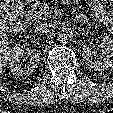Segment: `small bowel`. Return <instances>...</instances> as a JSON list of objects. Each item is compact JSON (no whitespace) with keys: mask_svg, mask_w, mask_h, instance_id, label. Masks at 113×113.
<instances>
[{"mask_svg":"<svg viewBox=\"0 0 113 113\" xmlns=\"http://www.w3.org/2000/svg\"><path fill=\"white\" fill-rule=\"evenodd\" d=\"M89 1L94 9V14L97 19H99L101 22L106 24L107 26L110 27L111 31L113 32V18L112 15L106 13L104 9L101 6V0H85ZM111 2V7H113V0H108ZM85 19V15H81Z\"/></svg>","mask_w":113,"mask_h":113,"instance_id":"1","label":"small bowel"}]
</instances>
